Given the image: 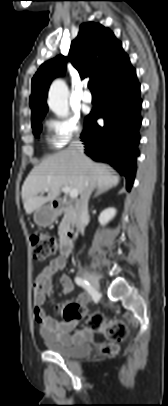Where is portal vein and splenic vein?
Returning a JSON list of instances; mask_svg holds the SVG:
<instances>
[{"instance_id": "1", "label": "portal vein and splenic vein", "mask_w": 168, "mask_h": 406, "mask_svg": "<svg viewBox=\"0 0 168 406\" xmlns=\"http://www.w3.org/2000/svg\"><path fill=\"white\" fill-rule=\"evenodd\" d=\"M45 191H48V188H46ZM62 191L65 193H69V196L71 198H76L78 196V191L76 189L68 187V186L62 187Z\"/></svg>"}]
</instances>
